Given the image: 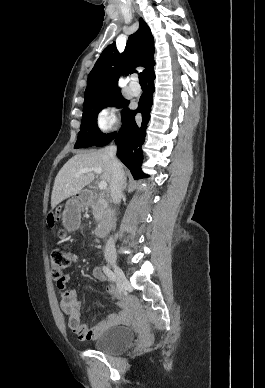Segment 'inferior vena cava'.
I'll list each match as a JSON object with an SVG mask.
<instances>
[{"label": "inferior vena cava", "instance_id": "602c4592", "mask_svg": "<svg viewBox=\"0 0 265 388\" xmlns=\"http://www.w3.org/2000/svg\"><path fill=\"white\" fill-rule=\"evenodd\" d=\"M116 152L117 146H110V148H108L107 156L111 164V198L114 204H120L125 174L121 168V164H119L116 158ZM104 256L105 258H112V256H116L115 244L112 238H109V240H107V244L104 250Z\"/></svg>", "mask_w": 265, "mask_h": 388}]
</instances>
